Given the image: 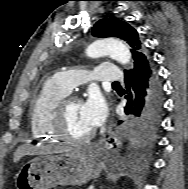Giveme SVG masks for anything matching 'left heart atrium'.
Returning <instances> with one entry per match:
<instances>
[{"instance_id":"left-heart-atrium-1","label":"left heart atrium","mask_w":188,"mask_h":189,"mask_svg":"<svg viewBox=\"0 0 188 189\" xmlns=\"http://www.w3.org/2000/svg\"><path fill=\"white\" fill-rule=\"evenodd\" d=\"M83 115L91 128L101 126L107 116V105L102 95L92 91L85 102H83Z\"/></svg>"}]
</instances>
